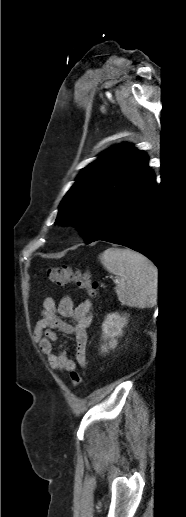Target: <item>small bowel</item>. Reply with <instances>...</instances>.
<instances>
[{"instance_id":"obj_1","label":"small bowel","mask_w":186,"mask_h":517,"mask_svg":"<svg viewBox=\"0 0 186 517\" xmlns=\"http://www.w3.org/2000/svg\"><path fill=\"white\" fill-rule=\"evenodd\" d=\"M41 318L36 322L34 338L38 341L43 355L46 356L52 370L72 371L79 364L86 366L87 357V328L92 320V303L84 300L74 305L70 296H64L58 304L52 298L43 302ZM63 318L70 319L66 322ZM57 332L72 335L75 339V360L69 358L61 345L58 352L54 351L57 342Z\"/></svg>"}]
</instances>
